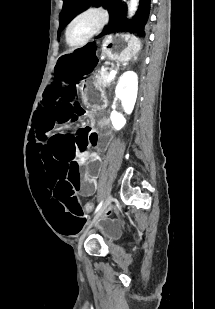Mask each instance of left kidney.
Listing matches in <instances>:
<instances>
[{
	"mask_svg": "<svg viewBox=\"0 0 215 309\" xmlns=\"http://www.w3.org/2000/svg\"><path fill=\"white\" fill-rule=\"evenodd\" d=\"M137 90L138 76L136 72H134V70H126V72H123L119 78L115 94L117 98H120L124 112H127V114H131L134 108L137 98ZM110 118L113 128H116V130H120V128H123L124 124H126V118H124L122 114H119L117 110H112Z\"/></svg>",
	"mask_w": 215,
	"mask_h": 309,
	"instance_id": "left-kidney-1",
	"label": "left kidney"
}]
</instances>
